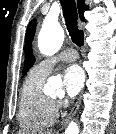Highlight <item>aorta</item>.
<instances>
[{"mask_svg": "<svg viewBox=\"0 0 116 134\" xmlns=\"http://www.w3.org/2000/svg\"><path fill=\"white\" fill-rule=\"evenodd\" d=\"M64 41V31L56 22H45L38 36V47L42 54L53 55L59 51ZM48 88L57 89L61 92L62 82L57 78H50L47 83ZM65 134H79V126L75 122H70Z\"/></svg>", "mask_w": 116, "mask_h": 134, "instance_id": "1", "label": "aorta"}]
</instances>
